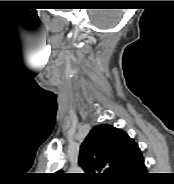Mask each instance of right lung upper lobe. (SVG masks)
Segmentation results:
<instances>
[{"mask_svg":"<svg viewBox=\"0 0 174 184\" xmlns=\"http://www.w3.org/2000/svg\"><path fill=\"white\" fill-rule=\"evenodd\" d=\"M142 154L126 132L108 124L94 127L80 147L87 182H117Z\"/></svg>","mask_w":174,"mask_h":184,"instance_id":"cb5924a9","label":"right lung upper lobe"}]
</instances>
